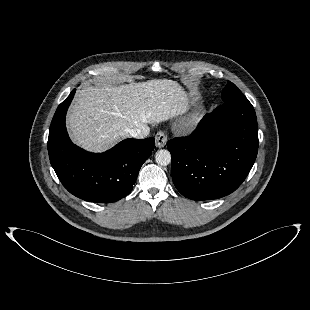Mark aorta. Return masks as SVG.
I'll return each mask as SVG.
<instances>
[{
	"label": "aorta",
	"instance_id": "aorta-1",
	"mask_svg": "<svg viewBox=\"0 0 310 310\" xmlns=\"http://www.w3.org/2000/svg\"><path fill=\"white\" fill-rule=\"evenodd\" d=\"M155 161L160 166H167L171 163V154L168 150L162 149L155 153Z\"/></svg>",
	"mask_w": 310,
	"mask_h": 310
}]
</instances>
